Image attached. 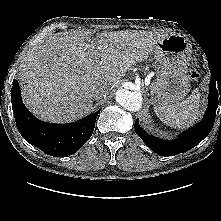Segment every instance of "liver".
<instances>
[{"mask_svg":"<svg viewBox=\"0 0 221 221\" xmlns=\"http://www.w3.org/2000/svg\"><path fill=\"white\" fill-rule=\"evenodd\" d=\"M164 37L151 31L105 32L93 40L89 33L78 31L47 36L20 64L23 102L47 122L81 118L92 108L96 88L106 86L109 90L120 82Z\"/></svg>","mask_w":221,"mask_h":221,"instance_id":"obj_1","label":"liver"}]
</instances>
